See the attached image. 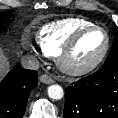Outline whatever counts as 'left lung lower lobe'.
I'll use <instances>...</instances> for the list:
<instances>
[{
  "label": "left lung lower lobe",
  "mask_w": 118,
  "mask_h": 118,
  "mask_svg": "<svg viewBox=\"0 0 118 118\" xmlns=\"http://www.w3.org/2000/svg\"><path fill=\"white\" fill-rule=\"evenodd\" d=\"M64 118H118V63L66 88Z\"/></svg>",
  "instance_id": "left-lung-lower-lobe-1"
}]
</instances>
